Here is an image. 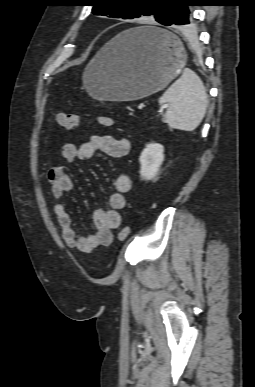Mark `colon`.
<instances>
[{
	"instance_id": "colon-1",
	"label": "colon",
	"mask_w": 255,
	"mask_h": 387,
	"mask_svg": "<svg viewBox=\"0 0 255 387\" xmlns=\"http://www.w3.org/2000/svg\"><path fill=\"white\" fill-rule=\"evenodd\" d=\"M81 117L77 114L59 112L56 115L57 123L66 129H73L77 127L80 123ZM97 122L104 127H113L115 125V121L111 117L98 115L96 117ZM131 233V228L129 226H124L121 228L118 234V238L121 241L126 240Z\"/></svg>"
}]
</instances>
